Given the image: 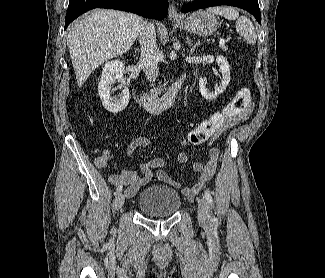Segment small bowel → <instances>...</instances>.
<instances>
[{
    "label": "small bowel",
    "instance_id": "c3829d8e",
    "mask_svg": "<svg viewBox=\"0 0 325 278\" xmlns=\"http://www.w3.org/2000/svg\"><path fill=\"white\" fill-rule=\"evenodd\" d=\"M251 110L252 107L250 106L247 110L241 112L235 119L231 120L228 124L246 120L249 117ZM191 133L192 130L187 134L186 138H188ZM217 133L218 132H216L210 138V150L208 160L206 162H195L192 166L194 172L198 174V177L196 182L191 187H186L183 189V192L188 196L196 195L215 173L220 156V150L214 143ZM148 145L149 141L147 139L137 138L133 140L129 145L128 154L131 155L138 147H145ZM113 157L114 154L110 150L105 149L103 150L101 155L95 159V165L98 168L103 169L107 166L109 161L113 159ZM178 161L183 164L188 163L190 161V156L187 153H181L178 156ZM164 164L165 161L163 158H154L142 164L141 176H139L133 170L123 169L118 174L110 175L109 181L114 185H125V196L128 199L135 196L139 191L140 187L148 185L149 183L154 181H162L169 183L172 186L179 187L180 184L178 182L172 180L168 175H166L162 171V167L164 166Z\"/></svg>",
    "mask_w": 325,
    "mask_h": 278
}]
</instances>
